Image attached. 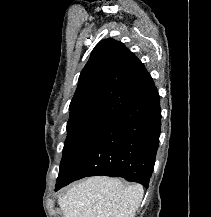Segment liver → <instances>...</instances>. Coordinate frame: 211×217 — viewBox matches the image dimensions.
Segmentation results:
<instances>
[{
  "instance_id": "liver-1",
  "label": "liver",
  "mask_w": 211,
  "mask_h": 217,
  "mask_svg": "<svg viewBox=\"0 0 211 217\" xmlns=\"http://www.w3.org/2000/svg\"><path fill=\"white\" fill-rule=\"evenodd\" d=\"M143 194L139 184L95 176L73 185L58 204L63 217H134Z\"/></svg>"
}]
</instances>
